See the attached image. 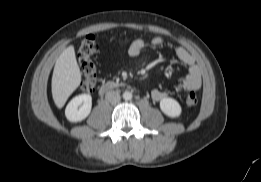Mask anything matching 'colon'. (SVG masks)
Returning a JSON list of instances; mask_svg holds the SVG:
<instances>
[{
    "mask_svg": "<svg viewBox=\"0 0 261 182\" xmlns=\"http://www.w3.org/2000/svg\"><path fill=\"white\" fill-rule=\"evenodd\" d=\"M98 45L93 34L86 35L80 42L76 59L78 66L83 73L81 87L86 92H92L97 86V68L94 62V55L97 52ZM198 102V98L194 92L187 95L186 103L189 106H194Z\"/></svg>",
    "mask_w": 261,
    "mask_h": 182,
    "instance_id": "5ec220e1",
    "label": "colon"
}]
</instances>
